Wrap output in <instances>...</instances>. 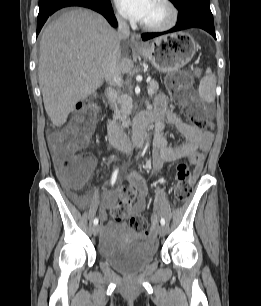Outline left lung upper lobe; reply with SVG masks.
Returning a JSON list of instances; mask_svg holds the SVG:
<instances>
[{
	"instance_id": "1",
	"label": "left lung upper lobe",
	"mask_w": 261,
	"mask_h": 306,
	"mask_svg": "<svg viewBox=\"0 0 261 306\" xmlns=\"http://www.w3.org/2000/svg\"><path fill=\"white\" fill-rule=\"evenodd\" d=\"M174 6L179 10L189 4L199 3L210 6V0H170Z\"/></svg>"
}]
</instances>
